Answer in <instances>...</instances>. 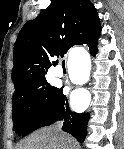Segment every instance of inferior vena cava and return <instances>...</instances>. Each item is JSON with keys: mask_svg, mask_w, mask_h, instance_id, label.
<instances>
[{"mask_svg": "<svg viewBox=\"0 0 124 149\" xmlns=\"http://www.w3.org/2000/svg\"><path fill=\"white\" fill-rule=\"evenodd\" d=\"M61 127H62V122H58L57 125H55L53 127V129L55 130V132L61 136L62 133H61ZM64 145H69V142H64ZM63 149H70V146H63Z\"/></svg>", "mask_w": 124, "mask_h": 149, "instance_id": "obj_1", "label": "inferior vena cava"}]
</instances>
